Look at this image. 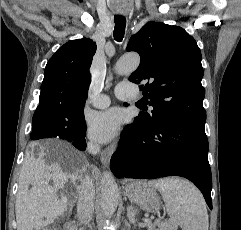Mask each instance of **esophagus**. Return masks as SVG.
Masks as SVG:
<instances>
[{
	"mask_svg": "<svg viewBox=\"0 0 241 230\" xmlns=\"http://www.w3.org/2000/svg\"><path fill=\"white\" fill-rule=\"evenodd\" d=\"M116 142L111 144L110 146L106 147L103 152L101 153V162L104 166H108L110 158L115 150Z\"/></svg>",
	"mask_w": 241,
	"mask_h": 230,
	"instance_id": "esophagus-1",
	"label": "esophagus"
}]
</instances>
